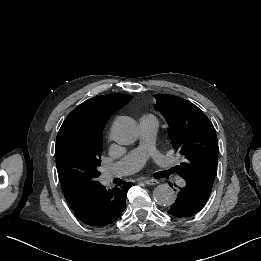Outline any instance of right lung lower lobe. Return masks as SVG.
I'll return each mask as SVG.
<instances>
[{"instance_id":"1","label":"right lung lower lobe","mask_w":261,"mask_h":261,"mask_svg":"<svg viewBox=\"0 0 261 261\" xmlns=\"http://www.w3.org/2000/svg\"><path fill=\"white\" fill-rule=\"evenodd\" d=\"M133 185L107 190L100 183L78 200L68 202L77 219L90 226H104L116 221L126 207V193Z\"/></svg>"}]
</instances>
